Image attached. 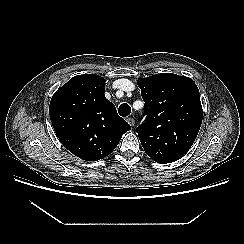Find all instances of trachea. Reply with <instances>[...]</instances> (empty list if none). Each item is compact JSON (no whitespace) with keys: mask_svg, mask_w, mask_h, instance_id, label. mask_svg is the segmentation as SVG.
Wrapping results in <instances>:
<instances>
[{"mask_svg":"<svg viewBox=\"0 0 244 244\" xmlns=\"http://www.w3.org/2000/svg\"><path fill=\"white\" fill-rule=\"evenodd\" d=\"M119 115L122 117H127L131 113V107L127 103H123L118 109Z\"/></svg>","mask_w":244,"mask_h":244,"instance_id":"3493384b","label":"trachea"}]
</instances>
